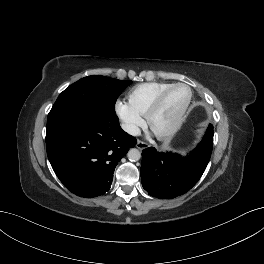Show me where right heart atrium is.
<instances>
[{"mask_svg":"<svg viewBox=\"0 0 264 264\" xmlns=\"http://www.w3.org/2000/svg\"><path fill=\"white\" fill-rule=\"evenodd\" d=\"M117 115L122 121L124 130L135 135L143 123L142 117L136 113L127 103L117 101L115 105Z\"/></svg>","mask_w":264,"mask_h":264,"instance_id":"d8ad5b80","label":"right heart atrium"}]
</instances>
